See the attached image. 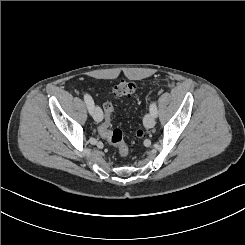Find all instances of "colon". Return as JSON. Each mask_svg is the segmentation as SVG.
Instances as JSON below:
<instances>
[{
  "label": "colon",
  "mask_w": 245,
  "mask_h": 245,
  "mask_svg": "<svg viewBox=\"0 0 245 245\" xmlns=\"http://www.w3.org/2000/svg\"><path fill=\"white\" fill-rule=\"evenodd\" d=\"M136 84L129 80H121L114 88L113 94L116 97H130L136 92ZM104 119L100 123L98 130L100 135L106 139L111 145L115 146L122 157H126L129 153L127 144L124 141L123 133L120 129H111V116L114 112V107L111 103L106 102L103 105ZM143 136V131L138 129L136 137Z\"/></svg>",
  "instance_id": "5ec220e1"
}]
</instances>
